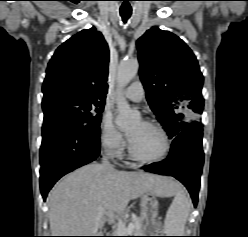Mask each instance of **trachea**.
<instances>
[{"label":"trachea","mask_w":248,"mask_h":237,"mask_svg":"<svg viewBox=\"0 0 248 237\" xmlns=\"http://www.w3.org/2000/svg\"><path fill=\"white\" fill-rule=\"evenodd\" d=\"M132 14V10L131 9H120V15L122 17V20L124 23L127 22V20L130 18Z\"/></svg>","instance_id":"3493384b"}]
</instances>
